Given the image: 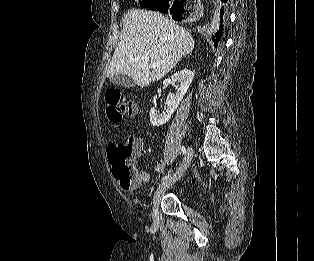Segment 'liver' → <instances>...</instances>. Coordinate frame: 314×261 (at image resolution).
Returning <instances> with one entry per match:
<instances>
[{
    "mask_svg": "<svg viewBox=\"0 0 314 261\" xmlns=\"http://www.w3.org/2000/svg\"><path fill=\"white\" fill-rule=\"evenodd\" d=\"M195 41L183 27L162 14L144 9H130L124 14L123 32L107 76L129 75L140 87L163 78L181 58L192 52ZM147 57L148 63L141 58ZM158 67L152 68V63Z\"/></svg>",
    "mask_w": 314,
    "mask_h": 261,
    "instance_id": "6515ba94",
    "label": "liver"
}]
</instances>
